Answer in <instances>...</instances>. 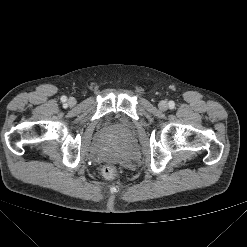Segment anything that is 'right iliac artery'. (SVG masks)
Returning <instances> with one entry per match:
<instances>
[{"mask_svg": "<svg viewBox=\"0 0 247 247\" xmlns=\"http://www.w3.org/2000/svg\"><path fill=\"white\" fill-rule=\"evenodd\" d=\"M66 100H67L66 96H62V97H61V101H62V102H65Z\"/></svg>", "mask_w": 247, "mask_h": 247, "instance_id": "right-iliac-artery-1", "label": "right iliac artery"}]
</instances>
